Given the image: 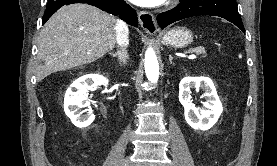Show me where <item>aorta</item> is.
Listing matches in <instances>:
<instances>
[{
    "label": "aorta",
    "mask_w": 277,
    "mask_h": 166,
    "mask_svg": "<svg viewBox=\"0 0 277 166\" xmlns=\"http://www.w3.org/2000/svg\"><path fill=\"white\" fill-rule=\"evenodd\" d=\"M145 72L150 82L157 83L159 78V64L152 47H149L145 53Z\"/></svg>",
    "instance_id": "1"
}]
</instances>
